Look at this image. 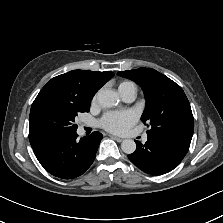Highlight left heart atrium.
I'll list each match as a JSON object with an SVG mask.
<instances>
[{
    "mask_svg": "<svg viewBox=\"0 0 223 223\" xmlns=\"http://www.w3.org/2000/svg\"><path fill=\"white\" fill-rule=\"evenodd\" d=\"M138 120V114L132 109L107 111L100 119L101 127L112 133L127 131Z\"/></svg>",
    "mask_w": 223,
    "mask_h": 223,
    "instance_id": "left-heart-atrium-1",
    "label": "left heart atrium"
}]
</instances>
